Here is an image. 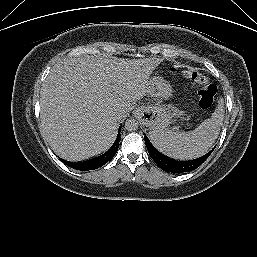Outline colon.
I'll return each mask as SVG.
<instances>
[{"instance_id": "colon-1", "label": "colon", "mask_w": 257, "mask_h": 257, "mask_svg": "<svg viewBox=\"0 0 257 257\" xmlns=\"http://www.w3.org/2000/svg\"><path fill=\"white\" fill-rule=\"evenodd\" d=\"M183 76L194 84H198L200 89L198 91V103L200 108L209 109L215 100L217 94V87L211 83L206 75L200 71H185Z\"/></svg>"}]
</instances>
